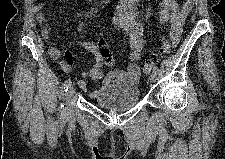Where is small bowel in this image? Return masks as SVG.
<instances>
[{
  "mask_svg": "<svg viewBox=\"0 0 225 159\" xmlns=\"http://www.w3.org/2000/svg\"><path fill=\"white\" fill-rule=\"evenodd\" d=\"M139 0H125L116 8L113 17L115 27L123 32L130 46L128 54L129 62L123 68H114L116 62L111 54L107 42L102 34H98L94 42H78L77 46L88 50L92 56L94 65L84 75V79L78 82L82 90L87 89L86 79L100 80L108 83L114 80H123L130 83H137L141 77V69L139 61L143 56L145 41L143 39L142 26L138 20L135 6ZM192 9V2L186 1L181 9H179L175 0H162L160 9V20L162 24L171 22L170 39L173 46H176L181 38L182 27L185 18ZM34 12L40 33L45 41L49 40L50 29L47 20L43 14V4H34ZM48 54L52 60L59 61L61 51L55 46H49ZM65 60L59 61V65L64 72H69L73 65V56L70 51H65ZM106 63L113 69L104 73L103 64ZM95 93H91L94 96Z\"/></svg>",
  "mask_w": 225,
  "mask_h": 159,
  "instance_id": "small-bowel-1",
  "label": "small bowel"
}]
</instances>
